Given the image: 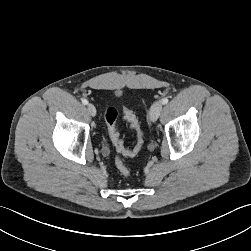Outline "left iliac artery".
Masks as SVG:
<instances>
[{
	"instance_id": "1",
	"label": "left iliac artery",
	"mask_w": 251,
	"mask_h": 251,
	"mask_svg": "<svg viewBox=\"0 0 251 251\" xmlns=\"http://www.w3.org/2000/svg\"><path fill=\"white\" fill-rule=\"evenodd\" d=\"M167 103H168V98H163V99H162V104L165 105V104H167Z\"/></svg>"
}]
</instances>
